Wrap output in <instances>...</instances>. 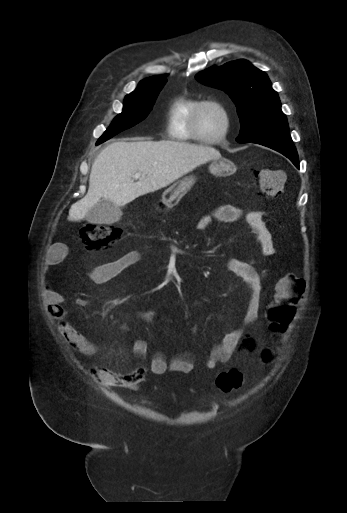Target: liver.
<instances>
[{"label":"liver","instance_id":"liver-1","mask_svg":"<svg viewBox=\"0 0 347 513\" xmlns=\"http://www.w3.org/2000/svg\"><path fill=\"white\" fill-rule=\"evenodd\" d=\"M220 153L210 146L170 140L114 142L95 159L84 198L72 204L69 221H81L100 198L124 206L139 196L167 187ZM144 178L134 182L133 176Z\"/></svg>","mask_w":347,"mask_h":513}]
</instances>
